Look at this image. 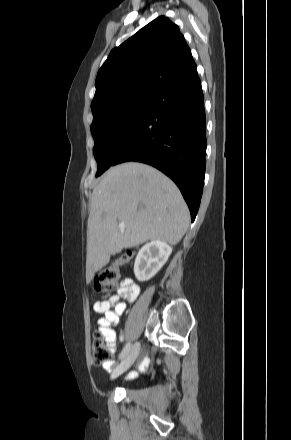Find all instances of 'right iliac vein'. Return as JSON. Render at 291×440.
<instances>
[{"instance_id":"63e3f726","label":"right iliac vein","mask_w":291,"mask_h":440,"mask_svg":"<svg viewBox=\"0 0 291 440\" xmlns=\"http://www.w3.org/2000/svg\"><path fill=\"white\" fill-rule=\"evenodd\" d=\"M140 351V344L139 342H136L129 353L127 354L126 358L114 369L112 373V378H115L119 375H121L123 372H125L127 369L131 367V365L135 362L138 354Z\"/></svg>"}]
</instances>
